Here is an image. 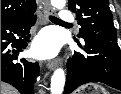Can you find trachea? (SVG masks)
Instances as JSON below:
<instances>
[{
    "instance_id": "3493384b",
    "label": "trachea",
    "mask_w": 121,
    "mask_h": 94,
    "mask_svg": "<svg viewBox=\"0 0 121 94\" xmlns=\"http://www.w3.org/2000/svg\"><path fill=\"white\" fill-rule=\"evenodd\" d=\"M49 18H50L51 21L63 22V23H64V21H62L61 19H59V18H57V17H55V16H50Z\"/></svg>"
}]
</instances>
